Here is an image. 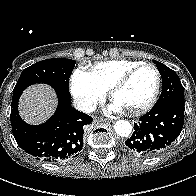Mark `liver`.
<instances>
[{
    "label": "liver",
    "instance_id": "6515ba94",
    "mask_svg": "<svg viewBox=\"0 0 196 196\" xmlns=\"http://www.w3.org/2000/svg\"><path fill=\"white\" fill-rule=\"evenodd\" d=\"M57 104L54 90L47 85L38 84L24 91L19 111L21 117L30 124H40L47 120Z\"/></svg>",
    "mask_w": 196,
    "mask_h": 196
}]
</instances>
